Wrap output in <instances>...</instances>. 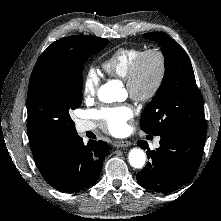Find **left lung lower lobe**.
Wrapping results in <instances>:
<instances>
[{"mask_svg":"<svg viewBox=\"0 0 221 221\" xmlns=\"http://www.w3.org/2000/svg\"><path fill=\"white\" fill-rule=\"evenodd\" d=\"M160 147L147 152L150 162L136 178L139 184L153 191L170 193L189 182L200 165L205 132L173 129L160 135ZM145 148L147 143L139 141Z\"/></svg>","mask_w":221,"mask_h":221,"instance_id":"0a47b994","label":"left lung lower lobe"}]
</instances>
